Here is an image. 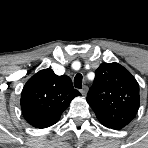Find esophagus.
Returning <instances> with one entry per match:
<instances>
[{
  "mask_svg": "<svg viewBox=\"0 0 148 148\" xmlns=\"http://www.w3.org/2000/svg\"><path fill=\"white\" fill-rule=\"evenodd\" d=\"M87 91H88L87 86H84V87L80 90V92H81V94H82L83 96H85V95L87 94Z\"/></svg>",
  "mask_w": 148,
  "mask_h": 148,
  "instance_id": "1",
  "label": "esophagus"
}]
</instances>
